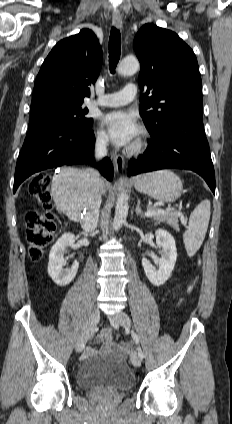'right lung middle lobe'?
Segmentation results:
<instances>
[{
	"instance_id": "right-lung-middle-lobe-1",
	"label": "right lung middle lobe",
	"mask_w": 232,
	"mask_h": 424,
	"mask_svg": "<svg viewBox=\"0 0 232 424\" xmlns=\"http://www.w3.org/2000/svg\"><path fill=\"white\" fill-rule=\"evenodd\" d=\"M88 109L82 105L50 103L31 108L29 129L37 127H56L68 130L91 129L93 120L85 118Z\"/></svg>"
}]
</instances>
